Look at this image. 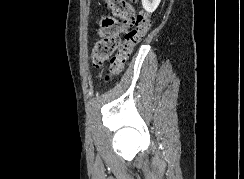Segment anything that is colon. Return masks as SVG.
Returning a JSON list of instances; mask_svg holds the SVG:
<instances>
[{
    "label": "colon",
    "instance_id": "colon-1",
    "mask_svg": "<svg viewBox=\"0 0 244 179\" xmlns=\"http://www.w3.org/2000/svg\"><path fill=\"white\" fill-rule=\"evenodd\" d=\"M108 7L118 19L124 31L121 36L107 35L98 40L92 52V64L100 67L110 57L107 79L120 74L127 63L133 49L138 46L151 28V15L145 11L137 13L133 3L138 0H107ZM114 53V56H111Z\"/></svg>",
    "mask_w": 244,
    "mask_h": 179
}]
</instances>
